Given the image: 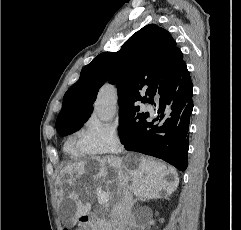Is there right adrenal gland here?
<instances>
[{
    "label": "right adrenal gland",
    "instance_id": "1",
    "mask_svg": "<svg viewBox=\"0 0 241 230\" xmlns=\"http://www.w3.org/2000/svg\"><path fill=\"white\" fill-rule=\"evenodd\" d=\"M147 199H145V198H137V199H135V201H134V204H136L138 201H146Z\"/></svg>",
    "mask_w": 241,
    "mask_h": 230
}]
</instances>
